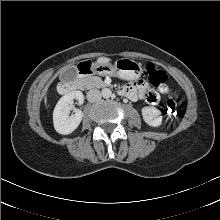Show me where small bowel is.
Here are the masks:
<instances>
[{
	"label": "small bowel",
	"instance_id": "1",
	"mask_svg": "<svg viewBox=\"0 0 220 220\" xmlns=\"http://www.w3.org/2000/svg\"><path fill=\"white\" fill-rule=\"evenodd\" d=\"M167 92L168 87L165 84L159 86L157 90H152L143 80L131 82L121 89V93L129 99L133 101L144 99L153 105L159 102L160 94H166Z\"/></svg>",
	"mask_w": 220,
	"mask_h": 220
}]
</instances>
